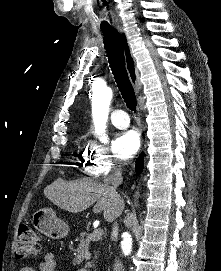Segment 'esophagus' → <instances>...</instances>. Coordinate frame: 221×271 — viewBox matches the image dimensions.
<instances>
[{
	"instance_id": "1",
	"label": "esophagus",
	"mask_w": 221,
	"mask_h": 271,
	"mask_svg": "<svg viewBox=\"0 0 221 271\" xmlns=\"http://www.w3.org/2000/svg\"><path fill=\"white\" fill-rule=\"evenodd\" d=\"M117 30L122 39V47L124 50L126 70L129 76V79L134 87L136 93H139L141 89L140 75L136 66V60L132 53V48L127 36V33L122 27H117ZM140 108V107H139Z\"/></svg>"
}]
</instances>
